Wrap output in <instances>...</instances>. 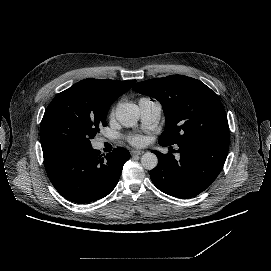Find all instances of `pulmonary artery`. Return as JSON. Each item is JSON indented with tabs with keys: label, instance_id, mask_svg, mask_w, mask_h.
<instances>
[{
	"label": "pulmonary artery",
	"instance_id": "obj_1",
	"mask_svg": "<svg viewBox=\"0 0 271 271\" xmlns=\"http://www.w3.org/2000/svg\"><path fill=\"white\" fill-rule=\"evenodd\" d=\"M139 106L141 111V119L145 125L155 124L160 117L161 106L158 101H153L149 98H141L139 100ZM104 140H97L94 143L95 149H101L103 147Z\"/></svg>",
	"mask_w": 271,
	"mask_h": 271
}]
</instances>
